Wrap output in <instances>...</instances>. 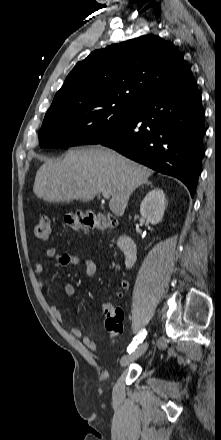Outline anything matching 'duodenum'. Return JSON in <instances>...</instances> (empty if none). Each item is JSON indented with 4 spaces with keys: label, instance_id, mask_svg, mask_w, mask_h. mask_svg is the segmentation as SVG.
<instances>
[{
    "label": "duodenum",
    "instance_id": "duodenum-1",
    "mask_svg": "<svg viewBox=\"0 0 221 440\" xmlns=\"http://www.w3.org/2000/svg\"><path fill=\"white\" fill-rule=\"evenodd\" d=\"M118 245L125 256V265L131 267L137 258L136 245L129 235H121L118 239Z\"/></svg>",
    "mask_w": 221,
    "mask_h": 440
}]
</instances>
